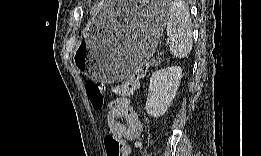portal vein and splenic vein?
<instances>
[{"mask_svg": "<svg viewBox=\"0 0 261 156\" xmlns=\"http://www.w3.org/2000/svg\"><path fill=\"white\" fill-rule=\"evenodd\" d=\"M169 43H170V40H169V39H167V40H166V44H169Z\"/></svg>", "mask_w": 261, "mask_h": 156, "instance_id": "portal-vein-and-splenic-vein-1", "label": "portal vein and splenic vein"}]
</instances>
